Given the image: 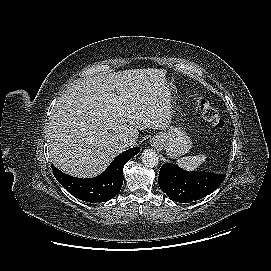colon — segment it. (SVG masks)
<instances>
[{"label": "colon", "instance_id": "colon-1", "mask_svg": "<svg viewBox=\"0 0 271 271\" xmlns=\"http://www.w3.org/2000/svg\"><path fill=\"white\" fill-rule=\"evenodd\" d=\"M195 104L202 112L204 119L215 130H223L225 122L220 118L218 112L209 104V102L199 96L194 98Z\"/></svg>", "mask_w": 271, "mask_h": 271}]
</instances>
